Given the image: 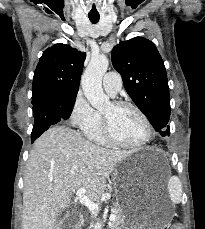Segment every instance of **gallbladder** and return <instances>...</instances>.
Returning <instances> with one entry per match:
<instances>
[{
	"label": "gallbladder",
	"instance_id": "bac80fb5",
	"mask_svg": "<svg viewBox=\"0 0 205 229\" xmlns=\"http://www.w3.org/2000/svg\"><path fill=\"white\" fill-rule=\"evenodd\" d=\"M58 221L63 220V228L62 229H69L68 227L72 224V216L68 215L67 213L61 211L57 218Z\"/></svg>",
	"mask_w": 205,
	"mask_h": 229
}]
</instances>
